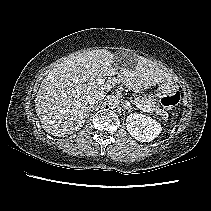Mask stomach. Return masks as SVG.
I'll list each match as a JSON object with an SVG mask.
<instances>
[{"label":"stomach","mask_w":211,"mask_h":211,"mask_svg":"<svg viewBox=\"0 0 211 211\" xmlns=\"http://www.w3.org/2000/svg\"><path fill=\"white\" fill-rule=\"evenodd\" d=\"M115 59H116L117 61L122 62V63H121L122 66L125 67V66L127 65L125 62H123V61L121 60V57L115 56ZM135 64H136V63H135ZM158 89H159V91H160V94H161V95H164V94H169V93L174 92L175 89H176V87H175V85L173 84V82H171V81H165V82H162V83L159 84V88H158ZM134 92L138 93V92H140V91L135 90Z\"/></svg>","instance_id":"0dacf381"}]
</instances>
